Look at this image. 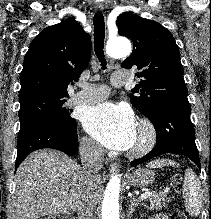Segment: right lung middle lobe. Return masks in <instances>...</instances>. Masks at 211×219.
Listing matches in <instances>:
<instances>
[{"mask_svg":"<svg viewBox=\"0 0 211 219\" xmlns=\"http://www.w3.org/2000/svg\"><path fill=\"white\" fill-rule=\"evenodd\" d=\"M63 97H39L20 102V129L40 121H54L63 125L75 123L71 109L65 107Z\"/></svg>","mask_w":211,"mask_h":219,"instance_id":"right-lung-middle-lobe-1","label":"right lung middle lobe"}]
</instances>
